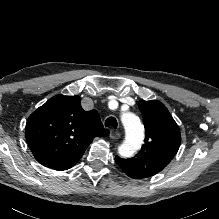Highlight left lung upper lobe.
<instances>
[{"label": "left lung upper lobe", "instance_id": "left-lung-upper-lobe-1", "mask_svg": "<svg viewBox=\"0 0 219 219\" xmlns=\"http://www.w3.org/2000/svg\"><path fill=\"white\" fill-rule=\"evenodd\" d=\"M146 129L145 144L129 159L115 161L131 178L151 177L164 169L177 154L181 143L179 127L167 108L157 100L139 101Z\"/></svg>", "mask_w": 219, "mask_h": 219}]
</instances>
